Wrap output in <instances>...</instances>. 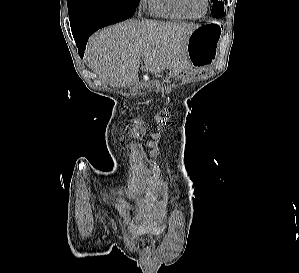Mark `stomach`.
<instances>
[{
    "mask_svg": "<svg viewBox=\"0 0 299 273\" xmlns=\"http://www.w3.org/2000/svg\"><path fill=\"white\" fill-rule=\"evenodd\" d=\"M220 35L221 28L216 22L201 25L195 29L187 44L189 64L196 68L211 66L218 54Z\"/></svg>",
    "mask_w": 299,
    "mask_h": 273,
    "instance_id": "obj_1",
    "label": "stomach"
}]
</instances>
